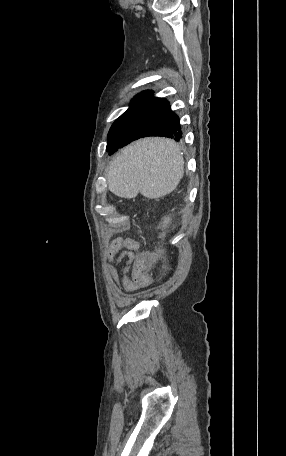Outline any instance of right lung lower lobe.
<instances>
[{
    "label": "right lung lower lobe",
    "instance_id": "obj_1",
    "mask_svg": "<svg viewBox=\"0 0 286 456\" xmlns=\"http://www.w3.org/2000/svg\"><path fill=\"white\" fill-rule=\"evenodd\" d=\"M122 117L127 138L114 152L129 142L146 136H164L176 141L182 139L179 117L171 110L166 99L153 97L151 91H144L134 97Z\"/></svg>",
    "mask_w": 286,
    "mask_h": 456
}]
</instances>
